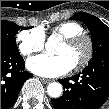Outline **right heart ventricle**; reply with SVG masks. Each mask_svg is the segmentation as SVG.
Returning a JSON list of instances; mask_svg holds the SVG:
<instances>
[{
	"instance_id": "right-heart-ventricle-1",
	"label": "right heart ventricle",
	"mask_w": 109,
	"mask_h": 109,
	"mask_svg": "<svg viewBox=\"0 0 109 109\" xmlns=\"http://www.w3.org/2000/svg\"><path fill=\"white\" fill-rule=\"evenodd\" d=\"M40 29L44 35L45 31H48L52 36H59L63 39L84 32L82 25L74 21L61 22L49 27L46 30L43 28Z\"/></svg>"
}]
</instances>
